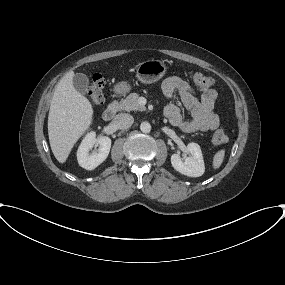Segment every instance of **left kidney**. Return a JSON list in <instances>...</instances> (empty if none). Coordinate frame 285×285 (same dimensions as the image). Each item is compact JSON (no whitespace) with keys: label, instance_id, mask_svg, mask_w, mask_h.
<instances>
[{"label":"left kidney","instance_id":"5707ae66","mask_svg":"<svg viewBox=\"0 0 285 285\" xmlns=\"http://www.w3.org/2000/svg\"><path fill=\"white\" fill-rule=\"evenodd\" d=\"M187 149L191 156L187 157L184 161L181 160L178 154L171 156L173 168L189 177L202 176L205 172V165L200 146L197 143L191 142L187 145Z\"/></svg>","mask_w":285,"mask_h":285}]
</instances>
